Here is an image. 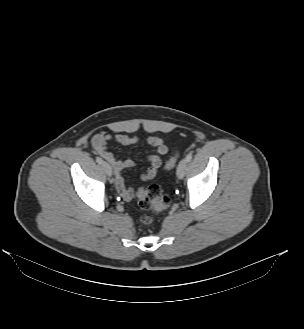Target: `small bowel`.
<instances>
[{
    "mask_svg": "<svg viewBox=\"0 0 304 329\" xmlns=\"http://www.w3.org/2000/svg\"><path fill=\"white\" fill-rule=\"evenodd\" d=\"M111 140H114L120 145L128 146L138 143L140 139L137 136H130L122 133L114 135L96 133L91 139L92 149L113 169L115 173V186L118 192L124 199H130L132 196V190L126 185L122 172L125 169L131 168L134 163L130 158L118 160L112 152L108 151L107 144ZM146 141L150 146L156 149V153L148 157L150 167L140 176L143 181L150 180L156 175V172L162 163L161 157L168 151L164 140L159 136H150Z\"/></svg>",
    "mask_w": 304,
    "mask_h": 329,
    "instance_id": "1",
    "label": "small bowel"
}]
</instances>
